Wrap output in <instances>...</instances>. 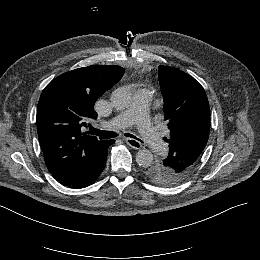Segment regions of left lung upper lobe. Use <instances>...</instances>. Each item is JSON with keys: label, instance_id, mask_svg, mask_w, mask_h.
<instances>
[{"label": "left lung upper lobe", "instance_id": "5c2ea615", "mask_svg": "<svg viewBox=\"0 0 260 260\" xmlns=\"http://www.w3.org/2000/svg\"><path fill=\"white\" fill-rule=\"evenodd\" d=\"M165 120L170 129L169 154L145 170L146 177L161 185L183 181L200 161L207 144L210 109L203 87L185 72L159 66Z\"/></svg>", "mask_w": 260, "mask_h": 260}]
</instances>
